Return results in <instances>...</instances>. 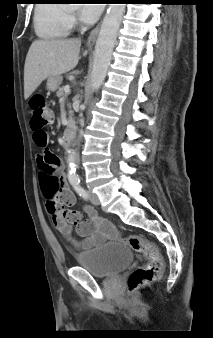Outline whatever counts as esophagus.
I'll return each instance as SVG.
<instances>
[{
    "label": "esophagus",
    "instance_id": "34e87169",
    "mask_svg": "<svg viewBox=\"0 0 213 338\" xmlns=\"http://www.w3.org/2000/svg\"><path fill=\"white\" fill-rule=\"evenodd\" d=\"M100 29V23L91 31L88 39H87V45L88 46H93L96 42L97 36H98V32Z\"/></svg>",
    "mask_w": 213,
    "mask_h": 338
}]
</instances>
